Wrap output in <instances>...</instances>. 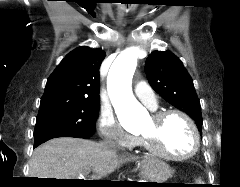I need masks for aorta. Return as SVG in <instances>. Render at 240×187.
I'll use <instances>...</instances> for the list:
<instances>
[{
  "label": "aorta",
  "mask_w": 240,
  "mask_h": 187,
  "mask_svg": "<svg viewBox=\"0 0 240 187\" xmlns=\"http://www.w3.org/2000/svg\"><path fill=\"white\" fill-rule=\"evenodd\" d=\"M138 50L123 51L113 62L107 77V90L114 109L121 119L128 115L134 121L147 116L145 109L132 93V78L137 65Z\"/></svg>",
  "instance_id": "1"
}]
</instances>
